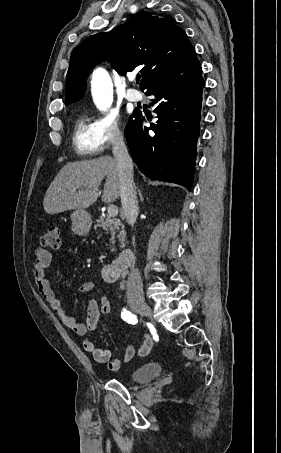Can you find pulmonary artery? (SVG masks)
<instances>
[{
	"mask_svg": "<svg viewBox=\"0 0 281 453\" xmlns=\"http://www.w3.org/2000/svg\"><path fill=\"white\" fill-rule=\"evenodd\" d=\"M129 80L131 82H133L134 77H130ZM124 95L127 100L132 101V102L145 101V96L140 91H138L137 89H134V88L126 89Z\"/></svg>",
	"mask_w": 281,
	"mask_h": 453,
	"instance_id": "obj_1",
	"label": "pulmonary artery"
}]
</instances>
